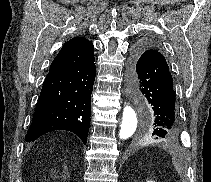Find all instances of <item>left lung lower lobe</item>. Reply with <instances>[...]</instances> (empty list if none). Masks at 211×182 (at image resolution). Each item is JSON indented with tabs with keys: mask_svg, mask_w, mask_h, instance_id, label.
<instances>
[{
	"mask_svg": "<svg viewBox=\"0 0 211 182\" xmlns=\"http://www.w3.org/2000/svg\"><path fill=\"white\" fill-rule=\"evenodd\" d=\"M127 85L137 103L150 106L153 118L147 136L176 139L180 123L173 78L164 55L148 40H141L132 48Z\"/></svg>",
	"mask_w": 211,
	"mask_h": 182,
	"instance_id": "0a47b994",
	"label": "left lung lower lobe"
}]
</instances>
